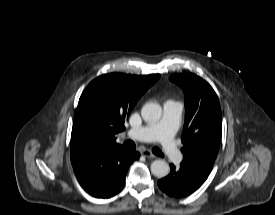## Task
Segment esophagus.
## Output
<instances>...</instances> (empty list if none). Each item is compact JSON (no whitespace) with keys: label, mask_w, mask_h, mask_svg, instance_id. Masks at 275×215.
<instances>
[{"label":"esophagus","mask_w":275,"mask_h":215,"mask_svg":"<svg viewBox=\"0 0 275 215\" xmlns=\"http://www.w3.org/2000/svg\"><path fill=\"white\" fill-rule=\"evenodd\" d=\"M141 154L147 158H155L156 156L149 150L141 151Z\"/></svg>","instance_id":"1"}]
</instances>
